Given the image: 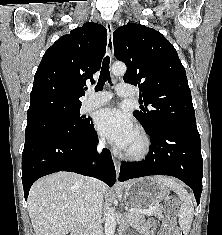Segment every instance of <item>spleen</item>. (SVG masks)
<instances>
[{
    "label": "spleen",
    "instance_id": "1",
    "mask_svg": "<svg viewBox=\"0 0 222 235\" xmlns=\"http://www.w3.org/2000/svg\"><path fill=\"white\" fill-rule=\"evenodd\" d=\"M155 180L172 189L179 196L181 200V207L178 211L179 225L181 230L187 235L194 217V206L191 196L184 187L173 178L157 176Z\"/></svg>",
    "mask_w": 222,
    "mask_h": 235
}]
</instances>
